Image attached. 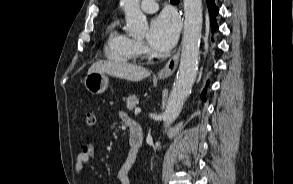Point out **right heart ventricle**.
Here are the masks:
<instances>
[{
	"mask_svg": "<svg viewBox=\"0 0 293 184\" xmlns=\"http://www.w3.org/2000/svg\"><path fill=\"white\" fill-rule=\"evenodd\" d=\"M104 53L108 59L118 62H132L139 55L135 47V40L120 29L117 19L108 26Z\"/></svg>",
	"mask_w": 293,
	"mask_h": 184,
	"instance_id": "obj_1",
	"label": "right heart ventricle"
}]
</instances>
